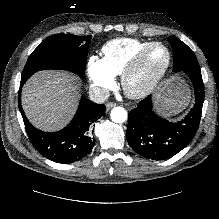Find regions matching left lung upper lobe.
Wrapping results in <instances>:
<instances>
[{"instance_id": "5c2ea615", "label": "left lung upper lobe", "mask_w": 219, "mask_h": 219, "mask_svg": "<svg viewBox=\"0 0 219 219\" xmlns=\"http://www.w3.org/2000/svg\"><path fill=\"white\" fill-rule=\"evenodd\" d=\"M173 47L174 69L173 71L199 70V64L193 51L181 40L169 38Z\"/></svg>"}]
</instances>
